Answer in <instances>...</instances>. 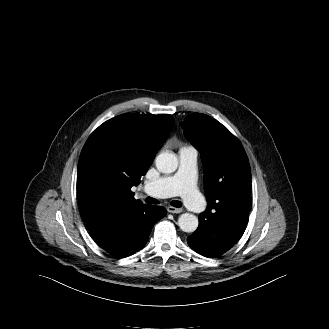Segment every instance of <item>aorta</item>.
<instances>
[{"label": "aorta", "mask_w": 329, "mask_h": 329, "mask_svg": "<svg viewBox=\"0 0 329 329\" xmlns=\"http://www.w3.org/2000/svg\"><path fill=\"white\" fill-rule=\"evenodd\" d=\"M155 163L159 172L172 173L178 167V158L174 153L162 152L156 157ZM198 224V218L190 213L181 214L178 218L179 228L187 233L194 232Z\"/></svg>", "instance_id": "762f6f07"}]
</instances>
